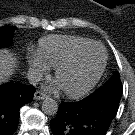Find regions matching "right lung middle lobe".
Returning <instances> with one entry per match:
<instances>
[{"instance_id":"right-lung-middle-lobe-1","label":"right lung middle lobe","mask_w":135,"mask_h":135,"mask_svg":"<svg viewBox=\"0 0 135 135\" xmlns=\"http://www.w3.org/2000/svg\"><path fill=\"white\" fill-rule=\"evenodd\" d=\"M15 29V26H4L0 28V48L12 43V36Z\"/></svg>"}]
</instances>
